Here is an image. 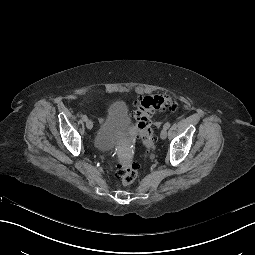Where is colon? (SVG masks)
<instances>
[{"mask_svg":"<svg viewBox=\"0 0 255 255\" xmlns=\"http://www.w3.org/2000/svg\"><path fill=\"white\" fill-rule=\"evenodd\" d=\"M177 107L176 99L169 95H152L142 98L134 111L136 129L142 145L150 149L154 143L152 116L158 112L175 110ZM140 166L137 162L121 161L116 170V176L125 186L132 184Z\"/></svg>","mask_w":255,"mask_h":255,"instance_id":"colon-1","label":"colon"}]
</instances>
